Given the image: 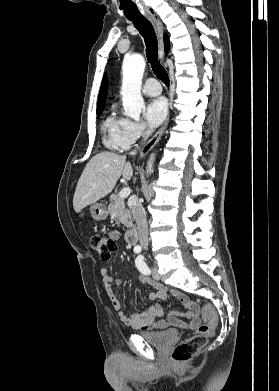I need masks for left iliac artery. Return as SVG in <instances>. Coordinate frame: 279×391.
<instances>
[{"mask_svg":"<svg viewBox=\"0 0 279 391\" xmlns=\"http://www.w3.org/2000/svg\"><path fill=\"white\" fill-rule=\"evenodd\" d=\"M135 263H136V267L137 269L142 273V274H145V275H149L150 274V269L149 267L147 266V264L145 263L144 261V257L142 255L138 256L135 260Z\"/></svg>","mask_w":279,"mask_h":391,"instance_id":"left-iliac-artery-1","label":"left iliac artery"}]
</instances>
